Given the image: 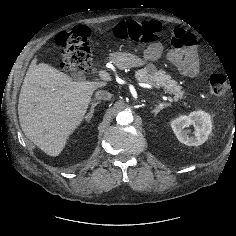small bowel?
<instances>
[{
	"mask_svg": "<svg viewBox=\"0 0 236 236\" xmlns=\"http://www.w3.org/2000/svg\"><path fill=\"white\" fill-rule=\"evenodd\" d=\"M163 56H166L183 76L195 78L198 75L200 58L194 34L176 29L170 44L155 42L147 47L142 58L144 61L152 62Z\"/></svg>",
	"mask_w": 236,
	"mask_h": 236,
	"instance_id": "1",
	"label": "small bowel"
}]
</instances>
